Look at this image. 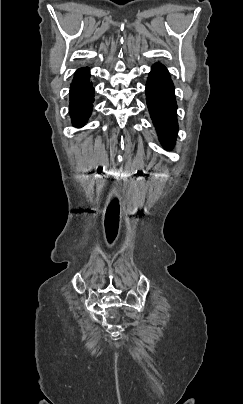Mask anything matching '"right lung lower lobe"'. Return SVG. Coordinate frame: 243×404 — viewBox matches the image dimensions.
I'll return each mask as SVG.
<instances>
[{"label": "right lung lower lobe", "instance_id": "1", "mask_svg": "<svg viewBox=\"0 0 243 404\" xmlns=\"http://www.w3.org/2000/svg\"><path fill=\"white\" fill-rule=\"evenodd\" d=\"M90 72L88 67L76 71L70 85V116L75 127L85 125L92 112L94 101V88L89 80Z\"/></svg>", "mask_w": 243, "mask_h": 404}]
</instances>
